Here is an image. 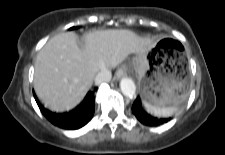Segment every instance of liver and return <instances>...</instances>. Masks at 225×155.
<instances>
[{
	"mask_svg": "<svg viewBox=\"0 0 225 155\" xmlns=\"http://www.w3.org/2000/svg\"><path fill=\"white\" fill-rule=\"evenodd\" d=\"M156 42L130 30H97L85 36L80 48L73 32L50 39L37 55L34 89L49 109L68 111L77 106L102 69L121 64L130 54L145 57Z\"/></svg>",
	"mask_w": 225,
	"mask_h": 155,
	"instance_id": "liver-1",
	"label": "liver"
}]
</instances>
